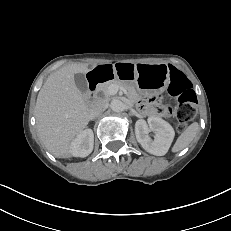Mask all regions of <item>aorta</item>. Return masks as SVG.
Returning a JSON list of instances; mask_svg holds the SVG:
<instances>
[{"label": "aorta", "instance_id": "aorta-1", "mask_svg": "<svg viewBox=\"0 0 231 231\" xmlns=\"http://www.w3.org/2000/svg\"><path fill=\"white\" fill-rule=\"evenodd\" d=\"M110 108L114 112H122L125 108L124 103L119 99H113L110 103Z\"/></svg>", "mask_w": 231, "mask_h": 231}]
</instances>
